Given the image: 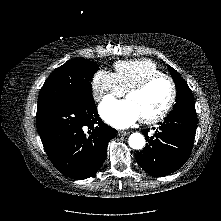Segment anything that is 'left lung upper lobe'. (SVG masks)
<instances>
[{"label": "left lung upper lobe", "instance_id": "left-lung-upper-lobe-1", "mask_svg": "<svg viewBox=\"0 0 221 221\" xmlns=\"http://www.w3.org/2000/svg\"><path fill=\"white\" fill-rule=\"evenodd\" d=\"M168 69L171 72L172 78L177 87L176 104H174L173 110L171 112H196L193 94L188 84L175 69H173L171 66H168Z\"/></svg>", "mask_w": 221, "mask_h": 221}]
</instances>
